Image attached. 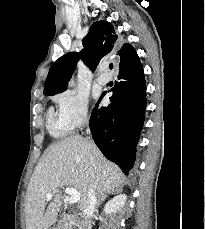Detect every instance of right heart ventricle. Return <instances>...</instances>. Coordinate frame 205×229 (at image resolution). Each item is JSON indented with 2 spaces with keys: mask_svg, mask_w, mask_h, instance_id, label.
Instances as JSON below:
<instances>
[{
  "mask_svg": "<svg viewBox=\"0 0 205 229\" xmlns=\"http://www.w3.org/2000/svg\"><path fill=\"white\" fill-rule=\"evenodd\" d=\"M47 128L55 138L65 137L71 131L52 110L47 115Z\"/></svg>",
  "mask_w": 205,
  "mask_h": 229,
  "instance_id": "1",
  "label": "right heart ventricle"
}]
</instances>
